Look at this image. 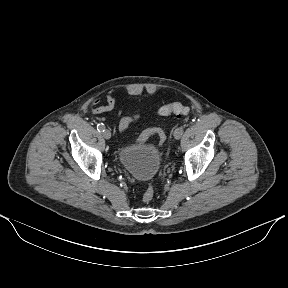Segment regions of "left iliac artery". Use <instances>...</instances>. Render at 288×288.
<instances>
[{"instance_id": "left-iliac-artery-1", "label": "left iliac artery", "mask_w": 288, "mask_h": 288, "mask_svg": "<svg viewBox=\"0 0 288 288\" xmlns=\"http://www.w3.org/2000/svg\"><path fill=\"white\" fill-rule=\"evenodd\" d=\"M184 128H185V127H184L183 124H180V125H179V129H180V130H183Z\"/></svg>"}]
</instances>
